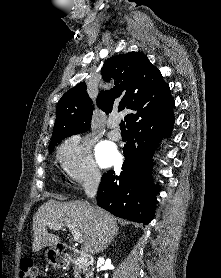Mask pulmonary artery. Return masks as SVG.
<instances>
[{
    "label": "pulmonary artery",
    "mask_w": 221,
    "mask_h": 278,
    "mask_svg": "<svg viewBox=\"0 0 221 278\" xmlns=\"http://www.w3.org/2000/svg\"><path fill=\"white\" fill-rule=\"evenodd\" d=\"M109 128L111 129L108 133L109 137L113 140H120L121 134L117 129L116 121H110L108 124Z\"/></svg>",
    "instance_id": "e3ab8cb5"
}]
</instances>
